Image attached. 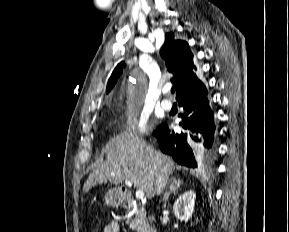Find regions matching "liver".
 Instances as JSON below:
<instances>
[{
	"label": "liver",
	"mask_w": 289,
	"mask_h": 232,
	"mask_svg": "<svg viewBox=\"0 0 289 232\" xmlns=\"http://www.w3.org/2000/svg\"><path fill=\"white\" fill-rule=\"evenodd\" d=\"M104 152L106 159L97 164L90 173L83 187L85 193L97 184L110 182L119 185L129 180L151 199L156 194L159 168L168 176L175 169L170 157L131 133H122L111 138Z\"/></svg>",
	"instance_id": "liver-1"
}]
</instances>
